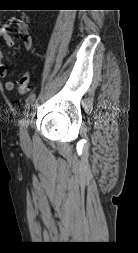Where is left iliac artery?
<instances>
[{"instance_id":"1","label":"left iliac artery","mask_w":138,"mask_h":253,"mask_svg":"<svg viewBox=\"0 0 138 253\" xmlns=\"http://www.w3.org/2000/svg\"><path fill=\"white\" fill-rule=\"evenodd\" d=\"M36 95L33 93L31 94L27 100H26V105H25V115L28 116V112L30 107L32 106L33 102L35 101Z\"/></svg>"}]
</instances>
